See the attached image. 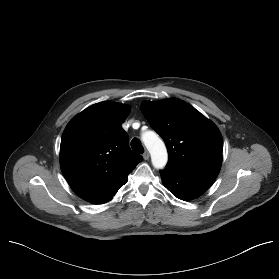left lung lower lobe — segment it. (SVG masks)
Returning a JSON list of instances; mask_svg holds the SVG:
<instances>
[{"label": "left lung lower lobe", "mask_w": 279, "mask_h": 279, "mask_svg": "<svg viewBox=\"0 0 279 279\" xmlns=\"http://www.w3.org/2000/svg\"><path fill=\"white\" fill-rule=\"evenodd\" d=\"M165 187L177 198L190 200L203 194L214 182V178L196 177L166 167L160 171Z\"/></svg>", "instance_id": "obj_1"}]
</instances>
